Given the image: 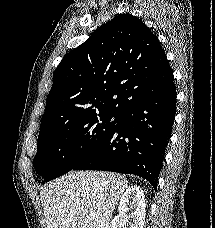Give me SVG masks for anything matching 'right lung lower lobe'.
<instances>
[{
  "label": "right lung lower lobe",
  "instance_id": "98d812e1",
  "mask_svg": "<svg viewBox=\"0 0 215 228\" xmlns=\"http://www.w3.org/2000/svg\"><path fill=\"white\" fill-rule=\"evenodd\" d=\"M174 77L117 114L111 133L72 170L135 174L157 189L176 113Z\"/></svg>",
  "mask_w": 215,
  "mask_h": 228
}]
</instances>
